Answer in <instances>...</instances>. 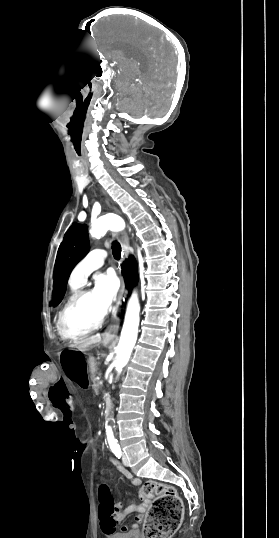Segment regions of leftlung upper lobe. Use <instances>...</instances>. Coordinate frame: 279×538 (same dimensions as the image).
Segmentation results:
<instances>
[{"instance_id":"left-lung-upper-lobe-1","label":"left lung upper lobe","mask_w":279,"mask_h":538,"mask_svg":"<svg viewBox=\"0 0 279 538\" xmlns=\"http://www.w3.org/2000/svg\"><path fill=\"white\" fill-rule=\"evenodd\" d=\"M89 251L87 226L74 222L64 236L60 245L54 272L53 299L50 306H56L66 292L69 275L75 265Z\"/></svg>"}]
</instances>
